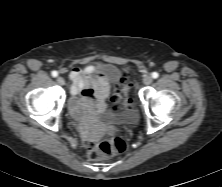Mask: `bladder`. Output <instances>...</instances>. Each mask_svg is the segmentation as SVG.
<instances>
[{
    "label": "bladder",
    "mask_w": 222,
    "mask_h": 187,
    "mask_svg": "<svg viewBox=\"0 0 222 187\" xmlns=\"http://www.w3.org/2000/svg\"><path fill=\"white\" fill-rule=\"evenodd\" d=\"M120 70L113 64H105L98 68L94 77L104 81L108 85H117L120 81ZM74 118L76 116L74 115ZM138 119V111L134 104L125 103L118 111H104L92 118L95 121H103L114 126H129Z\"/></svg>",
    "instance_id": "obj_1"
}]
</instances>
